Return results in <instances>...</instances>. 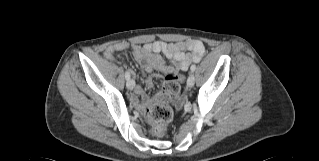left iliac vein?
Returning a JSON list of instances; mask_svg holds the SVG:
<instances>
[{
	"instance_id": "4c4485c4",
	"label": "left iliac vein",
	"mask_w": 319,
	"mask_h": 161,
	"mask_svg": "<svg viewBox=\"0 0 319 161\" xmlns=\"http://www.w3.org/2000/svg\"><path fill=\"white\" fill-rule=\"evenodd\" d=\"M194 83H195V77H194V74L191 73V74L188 76V79H187V86H188L189 88H191V87H193Z\"/></svg>"
}]
</instances>
